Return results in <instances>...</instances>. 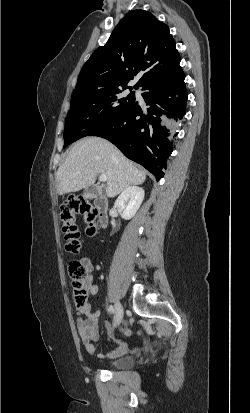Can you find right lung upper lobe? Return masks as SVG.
Wrapping results in <instances>:
<instances>
[{"instance_id": "cb5924a9", "label": "right lung upper lobe", "mask_w": 250, "mask_h": 413, "mask_svg": "<svg viewBox=\"0 0 250 413\" xmlns=\"http://www.w3.org/2000/svg\"><path fill=\"white\" fill-rule=\"evenodd\" d=\"M176 44L166 24L150 12L133 10L117 25L106 45L98 47L83 66L73 94L127 87L139 72L134 88L182 71Z\"/></svg>"}]
</instances>
